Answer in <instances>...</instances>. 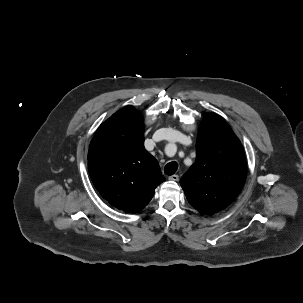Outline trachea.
Instances as JSON below:
<instances>
[{"mask_svg": "<svg viewBox=\"0 0 303 303\" xmlns=\"http://www.w3.org/2000/svg\"><path fill=\"white\" fill-rule=\"evenodd\" d=\"M177 169H178V164L177 162L173 161L166 164L164 168V172L166 175H173L177 171Z\"/></svg>", "mask_w": 303, "mask_h": 303, "instance_id": "obj_1", "label": "trachea"}]
</instances>
